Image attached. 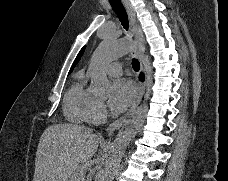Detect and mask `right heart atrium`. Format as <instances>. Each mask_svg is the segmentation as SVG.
Wrapping results in <instances>:
<instances>
[{"label":"right heart atrium","instance_id":"1","mask_svg":"<svg viewBox=\"0 0 228 181\" xmlns=\"http://www.w3.org/2000/svg\"><path fill=\"white\" fill-rule=\"evenodd\" d=\"M106 112L107 110L104 101L102 99H95L91 108L89 120L94 124H98L104 120Z\"/></svg>","mask_w":228,"mask_h":181}]
</instances>
